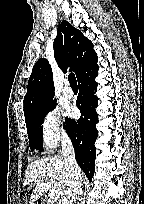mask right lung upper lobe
Returning <instances> with one entry per match:
<instances>
[{"label": "right lung upper lobe", "instance_id": "right-lung-upper-lobe-1", "mask_svg": "<svg viewBox=\"0 0 144 204\" xmlns=\"http://www.w3.org/2000/svg\"><path fill=\"white\" fill-rule=\"evenodd\" d=\"M54 57L63 70L74 71L77 79L97 62L92 42L67 21L57 28L54 40ZM54 84L51 66L47 59H39L33 67L24 98L25 119L54 101Z\"/></svg>", "mask_w": 144, "mask_h": 204}]
</instances>
